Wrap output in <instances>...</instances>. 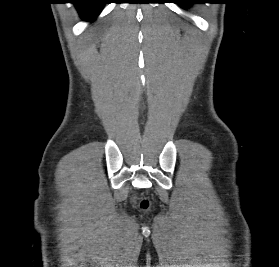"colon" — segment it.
Here are the masks:
<instances>
[{
	"label": "colon",
	"instance_id": "colon-1",
	"mask_svg": "<svg viewBox=\"0 0 279 267\" xmlns=\"http://www.w3.org/2000/svg\"><path fill=\"white\" fill-rule=\"evenodd\" d=\"M150 202L148 199H143L140 202V208L143 210H147L149 208Z\"/></svg>",
	"mask_w": 279,
	"mask_h": 267
}]
</instances>
